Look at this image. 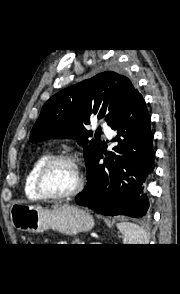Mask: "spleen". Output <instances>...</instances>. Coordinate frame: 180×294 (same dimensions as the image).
<instances>
[{
    "label": "spleen",
    "instance_id": "3e777b00",
    "mask_svg": "<svg viewBox=\"0 0 180 294\" xmlns=\"http://www.w3.org/2000/svg\"><path fill=\"white\" fill-rule=\"evenodd\" d=\"M117 228L123 235V244H147L148 236L146 231L131 222H120Z\"/></svg>",
    "mask_w": 180,
    "mask_h": 294
}]
</instances>
